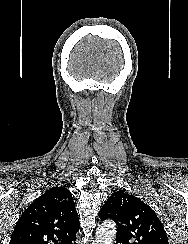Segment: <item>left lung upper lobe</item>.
Wrapping results in <instances>:
<instances>
[{
	"mask_svg": "<svg viewBox=\"0 0 188 244\" xmlns=\"http://www.w3.org/2000/svg\"><path fill=\"white\" fill-rule=\"evenodd\" d=\"M103 221L112 219L117 225L116 241L121 244H169L161 221L139 198L117 191L99 212Z\"/></svg>",
	"mask_w": 188,
	"mask_h": 244,
	"instance_id": "5c2ea615",
	"label": "left lung upper lobe"
}]
</instances>
